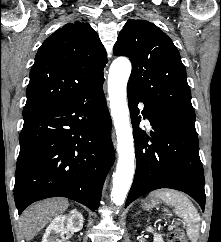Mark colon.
<instances>
[{
    "instance_id": "1",
    "label": "colon",
    "mask_w": 221,
    "mask_h": 242,
    "mask_svg": "<svg viewBox=\"0 0 221 242\" xmlns=\"http://www.w3.org/2000/svg\"><path fill=\"white\" fill-rule=\"evenodd\" d=\"M169 242H188L185 231L181 228L174 229L170 234Z\"/></svg>"
}]
</instances>
